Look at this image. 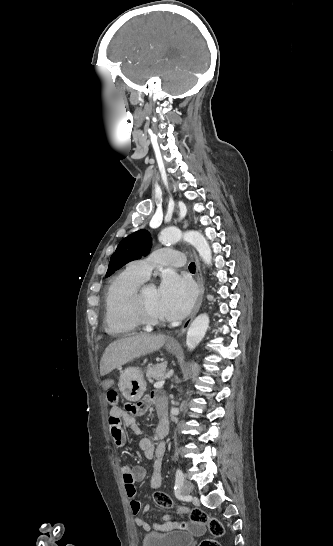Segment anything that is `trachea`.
<instances>
[{"label":"trachea","mask_w":333,"mask_h":546,"mask_svg":"<svg viewBox=\"0 0 333 546\" xmlns=\"http://www.w3.org/2000/svg\"><path fill=\"white\" fill-rule=\"evenodd\" d=\"M189 271L195 272V263H194V262L190 263V265H189Z\"/></svg>","instance_id":"trachea-1"}]
</instances>
